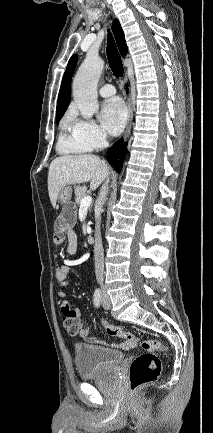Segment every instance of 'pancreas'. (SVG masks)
<instances>
[{
    "mask_svg": "<svg viewBox=\"0 0 213 433\" xmlns=\"http://www.w3.org/2000/svg\"><path fill=\"white\" fill-rule=\"evenodd\" d=\"M75 191V203L80 205L81 200L87 196V188L85 186H76ZM90 210V209H89Z\"/></svg>",
    "mask_w": 213,
    "mask_h": 433,
    "instance_id": "cf45deb5",
    "label": "pancreas"
}]
</instances>
